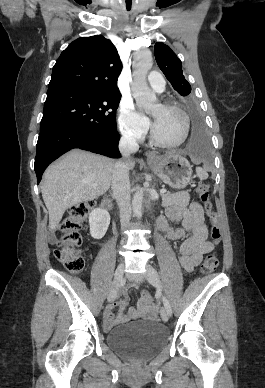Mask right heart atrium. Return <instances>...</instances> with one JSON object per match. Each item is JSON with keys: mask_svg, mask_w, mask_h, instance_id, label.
Returning <instances> with one entry per match:
<instances>
[{"mask_svg": "<svg viewBox=\"0 0 265 388\" xmlns=\"http://www.w3.org/2000/svg\"><path fill=\"white\" fill-rule=\"evenodd\" d=\"M120 121L125 131L136 139H142L150 129V121L141 114L130 99H123L119 107Z\"/></svg>", "mask_w": 265, "mask_h": 388, "instance_id": "d8ad5b80", "label": "right heart atrium"}]
</instances>
